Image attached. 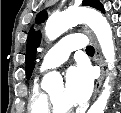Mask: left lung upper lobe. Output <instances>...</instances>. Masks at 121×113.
Masks as SVG:
<instances>
[{
	"mask_svg": "<svg viewBox=\"0 0 121 113\" xmlns=\"http://www.w3.org/2000/svg\"><path fill=\"white\" fill-rule=\"evenodd\" d=\"M82 5L90 6L104 12V8L99 0H83ZM47 13L41 11L36 17V23L40 24L45 21ZM41 35L39 31H35L32 27L28 33L27 49H26V76L30 79L35 66L36 48L39 46Z\"/></svg>",
	"mask_w": 121,
	"mask_h": 113,
	"instance_id": "1",
	"label": "left lung upper lobe"
}]
</instances>
